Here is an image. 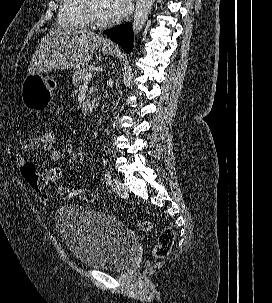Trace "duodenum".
<instances>
[{
    "instance_id": "obj_1",
    "label": "duodenum",
    "mask_w": 272,
    "mask_h": 303,
    "mask_svg": "<svg viewBox=\"0 0 272 303\" xmlns=\"http://www.w3.org/2000/svg\"><path fill=\"white\" fill-rule=\"evenodd\" d=\"M99 104V100L98 99H92L91 101H89L85 107V112L87 114H90L92 112H94L96 110V108L98 107Z\"/></svg>"
}]
</instances>
